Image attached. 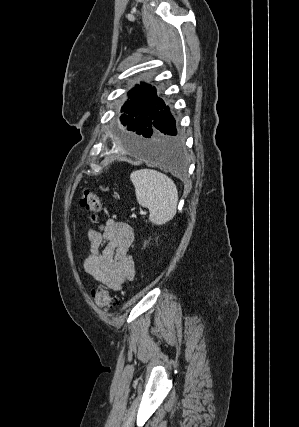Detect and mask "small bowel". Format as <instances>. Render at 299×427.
I'll return each mask as SVG.
<instances>
[{
    "label": "small bowel",
    "mask_w": 299,
    "mask_h": 427,
    "mask_svg": "<svg viewBox=\"0 0 299 427\" xmlns=\"http://www.w3.org/2000/svg\"><path fill=\"white\" fill-rule=\"evenodd\" d=\"M90 254L84 270L100 284L113 291L135 277V262L129 255L134 242L132 227L123 221L108 219L97 229L88 231Z\"/></svg>",
    "instance_id": "small-bowel-1"
}]
</instances>
